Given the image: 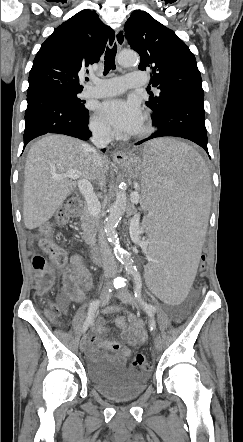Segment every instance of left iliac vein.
Returning a JSON list of instances; mask_svg holds the SVG:
<instances>
[{"mask_svg": "<svg viewBox=\"0 0 243 442\" xmlns=\"http://www.w3.org/2000/svg\"><path fill=\"white\" fill-rule=\"evenodd\" d=\"M117 297L124 303L131 305L133 308H137L136 301L134 297L125 289L119 290ZM162 346L161 337L156 335L154 338V348L156 351H160Z\"/></svg>", "mask_w": 243, "mask_h": 442, "instance_id": "1", "label": "left iliac vein"}]
</instances>
